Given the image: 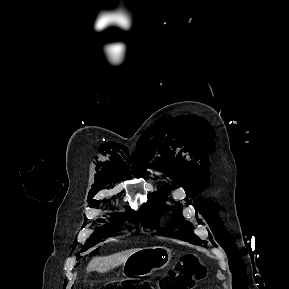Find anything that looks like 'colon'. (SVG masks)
<instances>
[{
    "mask_svg": "<svg viewBox=\"0 0 289 289\" xmlns=\"http://www.w3.org/2000/svg\"><path fill=\"white\" fill-rule=\"evenodd\" d=\"M206 269L197 262L196 255L188 253L179 261L175 271L163 279L158 289H193L195 285L204 279ZM147 283L126 281L110 283L103 289H147Z\"/></svg>",
    "mask_w": 289,
    "mask_h": 289,
    "instance_id": "5ec220e1",
    "label": "colon"
}]
</instances>
